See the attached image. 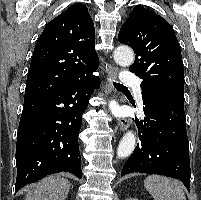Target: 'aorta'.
<instances>
[{
    "mask_svg": "<svg viewBox=\"0 0 201 200\" xmlns=\"http://www.w3.org/2000/svg\"><path fill=\"white\" fill-rule=\"evenodd\" d=\"M114 60L122 67H128L134 62V53L129 47L119 46L114 51ZM135 143L136 136L134 132L128 131L125 133L117 149L118 158L128 157L133 152Z\"/></svg>",
    "mask_w": 201,
    "mask_h": 200,
    "instance_id": "aorta-1",
    "label": "aorta"
}]
</instances>
